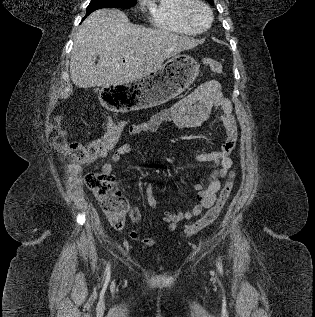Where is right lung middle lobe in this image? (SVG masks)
<instances>
[{
	"label": "right lung middle lobe",
	"instance_id": "dd1d6c3e",
	"mask_svg": "<svg viewBox=\"0 0 315 317\" xmlns=\"http://www.w3.org/2000/svg\"><path fill=\"white\" fill-rule=\"evenodd\" d=\"M137 0H92L87 7V15L100 8H131Z\"/></svg>",
	"mask_w": 315,
	"mask_h": 317
}]
</instances>
